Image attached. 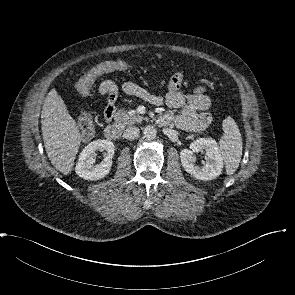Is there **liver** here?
Segmentation results:
<instances>
[{"label":"liver","instance_id":"obj_1","mask_svg":"<svg viewBox=\"0 0 295 295\" xmlns=\"http://www.w3.org/2000/svg\"><path fill=\"white\" fill-rule=\"evenodd\" d=\"M41 125L45 150L52 165L64 175L69 174L80 147L81 134L55 89L44 99Z\"/></svg>","mask_w":295,"mask_h":295}]
</instances>
